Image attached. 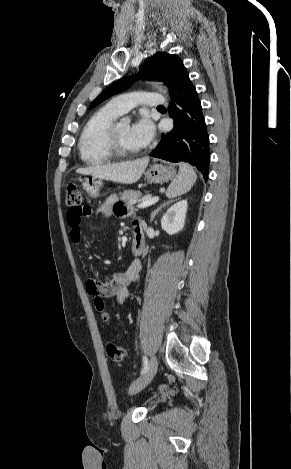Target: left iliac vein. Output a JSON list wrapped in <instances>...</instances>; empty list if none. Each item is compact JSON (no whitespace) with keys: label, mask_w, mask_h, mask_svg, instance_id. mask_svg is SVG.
<instances>
[{"label":"left iliac vein","mask_w":291,"mask_h":469,"mask_svg":"<svg viewBox=\"0 0 291 469\" xmlns=\"http://www.w3.org/2000/svg\"><path fill=\"white\" fill-rule=\"evenodd\" d=\"M157 368H158L157 359L155 356H152L149 361L147 370L144 372L142 376H140L136 381L132 383V385L130 386V391L132 393H137L141 391L142 389H144L155 376L157 372Z\"/></svg>","instance_id":"obj_1"}]
</instances>
